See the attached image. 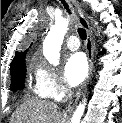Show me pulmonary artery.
I'll use <instances>...</instances> for the list:
<instances>
[{"label": "pulmonary artery", "mask_w": 122, "mask_h": 123, "mask_svg": "<svg viewBox=\"0 0 122 123\" xmlns=\"http://www.w3.org/2000/svg\"><path fill=\"white\" fill-rule=\"evenodd\" d=\"M66 45L70 50H77L80 47L79 40L76 36H70L67 41Z\"/></svg>", "instance_id": "1"}]
</instances>
